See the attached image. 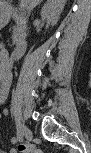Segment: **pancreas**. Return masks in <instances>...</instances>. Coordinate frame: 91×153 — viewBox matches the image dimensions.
<instances>
[{"label":"pancreas","mask_w":91,"mask_h":153,"mask_svg":"<svg viewBox=\"0 0 91 153\" xmlns=\"http://www.w3.org/2000/svg\"><path fill=\"white\" fill-rule=\"evenodd\" d=\"M22 28H23V24L18 21L17 22V26L14 27V29H13V35H12L13 43H16L17 42L19 32L22 30Z\"/></svg>","instance_id":"pancreas-1"}]
</instances>
